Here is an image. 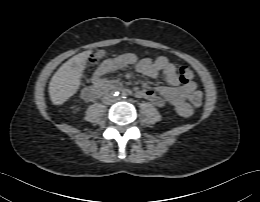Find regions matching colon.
<instances>
[{"mask_svg": "<svg viewBox=\"0 0 260 202\" xmlns=\"http://www.w3.org/2000/svg\"><path fill=\"white\" fill-rule=\"evenodd\" d=\"M179 77L182 83L188 84L194 81L195 74L193 70L186 65H183L179 69ZM189 100L195 106H198L202 102V94L200 91H193L189 95Z\"/></svg>", "mask_w": 260, "mask_h": 202, "instance_id": "colon-1", "label": "colon"}]
</instances>
